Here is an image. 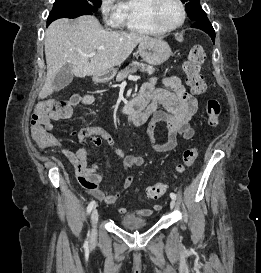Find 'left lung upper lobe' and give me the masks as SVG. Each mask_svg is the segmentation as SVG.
<instances>
[{
    "label": "left lung upper lobe",
    "mask_w": 261,
    "mask_h": 273,
    "mask_svg": "<svg viewBox=\"0 0 261 273\" xmlns=\"http://www.w3.org/2000/svg\"><path fill=\"white\" fill-rule=\"evenodd\" d=\"M185 4V9L187 12L188 17L192 21H197L203 17H207L206 13L203 11V9L200 6L199 0H181Z\"/></svg>",
    "instance_id": "obj_1"
}]
</instances>
